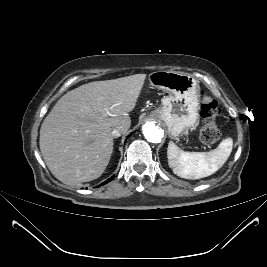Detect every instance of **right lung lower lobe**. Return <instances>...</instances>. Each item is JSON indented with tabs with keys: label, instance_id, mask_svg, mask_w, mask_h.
Masks as SVG:
<instances>
[{
	"label": "right lung lower lobe",
	"instance_id": "98d812e1",
	"mask_svg": "<svg viewBox=\"0 0 267 267\" xmlns=\"http://www.w3.org/2000/svg\"><path fill=\"white\" fill-rule=\"evenodd\" d=\"M114 176H112L111 178H109L108 180H106L105 182L102 183V185L108 183L109 181H111L113 179Z\"/></svg>",
	"mask_w": 267,
	"mask_h": 267
}]
</instances>
